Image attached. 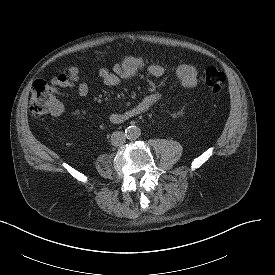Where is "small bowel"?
Wrapping results in <instances>:
<instances>
[{
  "label": "small bowel",
  "mask_w": 275,
  "mask_h": 275,
  "mask_svg": "<svg viewBox=\"0 0 275 275\" xmlns=\"http://www.w3.org/2000/svg\"><path fill=\"white\" fill-rule=\"evenodd\" d=\"M143 67H146L147 72L156 78H161L165 75V69L157 63H146V61L138 56H128L122 61L117 62L112 68L102 67L99 70V78L107 87L117 86L122 79L130 78L136 75ZM176 75L185 88H193L198 82L197 69L190 64H181L176 69ZM52 83L61 88L73 89L81 98L89 94L90 87L86 81L81 78L79 68L71 66L65 73H62L53 78ZM160 99L158 92H150L143 96L133 107L121 112L114 113L110 116L113 123H121L126 120L137 117L147 112ZM62 112V106L57 105L53 110V115H59Z\"/></svg>",
  "instance_id": "small-bowel-1"
}]
</instances>
